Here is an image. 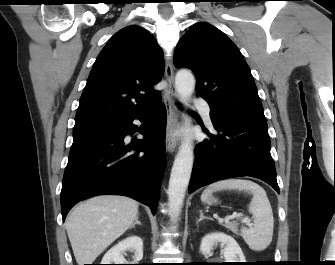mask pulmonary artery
Segmentation results:
<instances>
[{"instance_id": "pulmonary-artery-1", "label": "pulmonary artery", "mask_w": 335, "mask_h": 265, "mask_svg": "<svg viewBox=\"0 0 335 265\" xmlns=\"http://www.w3.org/2000/svg\"><path fill=\"white\" fill-rule=\"evenodd\" d=\"M193 104L195 107L201 110L206 122L208 124H211V117H210L211 109L209 105L207 104V102L201 98H195L193 100Z\"/></svg>"}]
</instances>
